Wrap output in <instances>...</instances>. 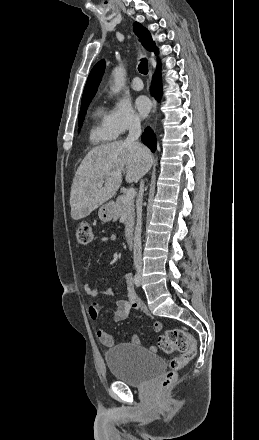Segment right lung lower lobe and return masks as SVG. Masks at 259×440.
<instances>
[{
    "mask_svg": "<svg viewBox=\"0 0 259 440\" xmlns=\"http://www.w3.org/2000/svg\"><path fill=\"white\" fill-rule=\"evenodd\" d=\"M151 93L155 96L156 99H160L162 95V87H161V76H160V62H158V66L156 69V73L153 76ZM143 143L149 147V149L154 152L156 149V139L150 128H146L144 133L142 134Z\"/></svg>",
    "mask_w": 259,
    "mask_h": 440,
    "instance_id": "right-lung-lower-lobe-1",
    "label": "right lung lower lobe"
}]
</instances>
